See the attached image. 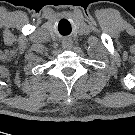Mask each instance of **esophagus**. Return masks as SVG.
I'll return each mask as SVG.
<instances>
[{
  "label": "esophagus",
  "mask_w": 135,
  "mask_h": 135,
  "mask_svg": "<svg viewBox=\"0 0 135 135\" xmlns=\"http://www.w3.org/2000/svg\"><path fill=\"white\" fill-rule=\"evenodd\" d=\"M71 46H72V42H71V40L69 38L63 39L62 48L64 50H69L71 48Z\"/></svg>",
  "instance_id": "esophagus-1"
}]
</instances>
